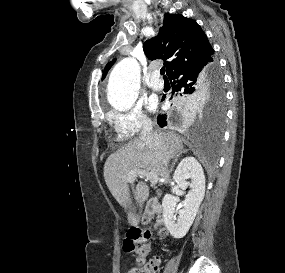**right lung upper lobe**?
Returning <instances> with one entry per match:
<instances>
[{
    "mask_svg": "<svg viewBox=\"0 0 285 273\" xmlns=\"http://www.w3.org/2000/svg\"><path fill=\"white\" fill-rule=\"evenodd\" d=\"M143 49L150 60H167L164 65L168 77L184 65L214 54L207 36L194 20L168 13L158 35L145 41ZM113 63L114 60L106 67L103 78Z\"/></svg>",
    "mask_w": 285,
    "mask_h": 273,
    "instance_id": "right-lung-upper-lobe-1",
    "label": "right lung upper lobe"
}]
</instances>
